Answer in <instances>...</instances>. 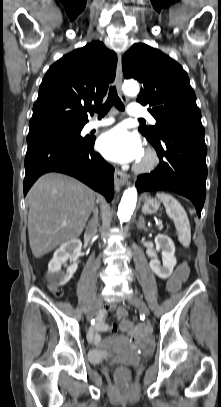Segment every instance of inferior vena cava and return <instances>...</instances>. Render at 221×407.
Returning a JSON list of instances; mask_svg holds the SVG:
<instances>
[{
    "label": "inferior vena cava",
    "instance_id": "602c4592",
    "mask_svg": "<svg viewBox=\"0 0 221 407\" xmlns=\"http://www.w3.org/2000/svg\"><path fill=\"white\" fill-rule=\"evenodd\" d=\"M97 208L93 209V217L89 220L88 225L86 227V234L90 236H94L97 233L98 217H95V212Z\"/></svg>",
    "mask_w": 221,
    "mask_h": 407
}]
</instances>
